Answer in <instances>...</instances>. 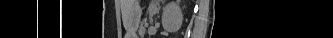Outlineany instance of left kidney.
Instances as JSON below:
<instances>
[{"mask_svg": "<svg viewBox=\"0 0 333 38\" xmlns=\"http://www.w3.org/2000/svg\"><path fill=\"white\" fill-rule=\"evenodd\" d=\"M183 14L178 3L171 1L163 8L162 26L168 32L177 31L182 24Z\"/></svg>", "mask_w": 333, "mask_h": 38, "instance_id": "left-kidney-1", "label": "left kidney"}]
</instances>
